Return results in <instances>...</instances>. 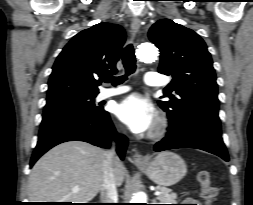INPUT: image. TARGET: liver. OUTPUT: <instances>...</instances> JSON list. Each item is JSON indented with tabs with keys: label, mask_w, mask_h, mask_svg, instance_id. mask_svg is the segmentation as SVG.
<instances>
[{
	"label": "liver",
	"mask_w": 253,
	"mask_h": 205,
	"mask_svg": "<svg viewBox=\"0 0 253 205\" xmlns=\"http://www.w3.org/2000/svg\"><path fill=\"white\" fill-rule=\"evenodd\" d=\"M105 151L91 144L70 141L59 144L33 166L28 182L31 202L88 203L100 191ZM116 185L123 183L125 167L113 162ZM78 186V191L73 188Z\"/></svg>",
	"instance_id": "6515ba94"
}]
</instances>
